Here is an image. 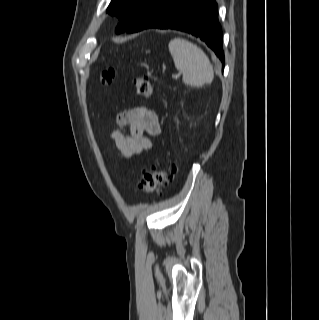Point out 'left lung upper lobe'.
Listing matches in <instances>:
<instances>
[{
    "mask_svg": "<svg viewBox=\"0 0 319 320\" xmlns=\"http://www.w3.org/2000/svg\"><path fill=\"white\" fill-rule=\"evenodd\" d=\"M157 0H112L107 13L117 16L120 25L117 26L116 32L127 31L129 27L148 10Z\"/></svg>",
    "mask_w": 319,
    "mask_h": 320,
    "instance_id": "1",
    "label": "left lung upper lobe"
}]
</instances>
